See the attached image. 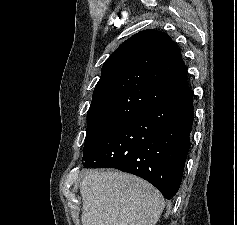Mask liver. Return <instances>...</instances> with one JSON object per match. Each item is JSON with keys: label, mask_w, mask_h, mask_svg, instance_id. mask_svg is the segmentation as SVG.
Here are the masks:
<instances>
[{"label": "liver", "mask_w": 237, "mask_h": 225, "mask_svg": "<svg viewBox=\"0 0 237 225\" xmlns=\"http://www.w3.org/2000/svg\"><path fill=\"white\" fill-rule=\"evenodd\" d=\"M82 225H155L165 208L150 183L120 171H92L80 183Z\"/></svg>", "instance_id": "obj_1"}]
</instances>
